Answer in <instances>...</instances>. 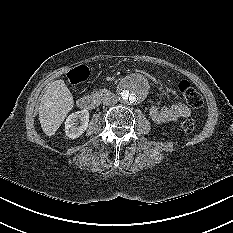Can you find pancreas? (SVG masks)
Segmentation results:
<instances>
[{"instance_id": "1", "label": "pancreas", "mask_w": 233, "mask_h": 233, "mask_svg": "<svg viewBox=\"0 0 233 233\" xmlns=\"http://www.w3.org/2000/svg\"><path fill=\"white\" fill-rule=\"evenodd\" d=\"M100 92H104V90H100Z\"/></svg>"}]
</instances>
